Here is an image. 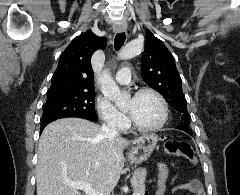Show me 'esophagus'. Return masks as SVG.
<instances>
[{"label": "esophagus", "instance_id": "esophagus-1", "mask_svg": "<svg viewBox=\"0 0 240 195\" xmlns=\"http://www.w3.org/2000/svg\"><path fill=\"white\" fill-rule=\"evenodd\" d=\"M127 28V24H119V25H114L113 30L114 32H124Z\"/></svg>", "mask_w": 240, "mask_h": 195}]
</instances>
